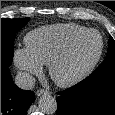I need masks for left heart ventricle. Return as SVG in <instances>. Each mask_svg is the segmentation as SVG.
I'll list each match as a JSON object with an SVG mask.
<instances>
[{"label":"left heart ventricle","instance_id":"left-heart-ventricle-1","mask_svg":"<svg viewBox=\"0 0 115 115\" xmlns=\"http://www.w3.org/2000/svg\"><path fill=\"white\" fill-rule=\"evenodd\" d=\"M99 37L95 33L85 36L75 46L68 62L60 68V74L66 75L75 72L89 61H91L99 49Z\"/></svg>","mask_w":115,"mask_h":115}]
</instances>
